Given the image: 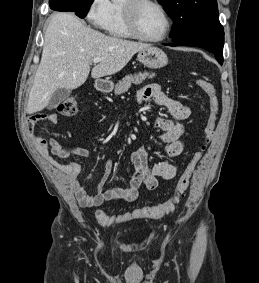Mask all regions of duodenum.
I'll use <instances>...</instances> for the list:
<instances>
[{"instance_id":"1","label":"duodenum","mask_w":259,"mask_h":283,"mask_svg":"<svg viewBox=\"0 0 259 283\" xmlns=\"http://www.w3.org/2000/svg\"><path fill=\"white\" fill-rule=\"evenodd\" d=\"M96 89L99 92H107L109 89V86L104 81H97L96 83Z\"/></svg>"}]
</instances>
